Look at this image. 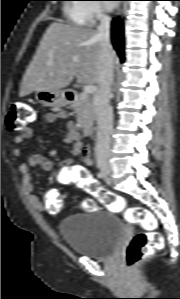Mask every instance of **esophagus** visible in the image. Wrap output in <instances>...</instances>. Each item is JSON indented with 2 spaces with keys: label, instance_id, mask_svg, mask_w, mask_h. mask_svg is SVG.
<instances>
[{
  "label": "esophagus",
  "instance_id": "1",
  "mask_svg": "<svg viewBox=\"0 0 180 299\" xmlns=\"http://www.w3.org/2000/svg\"><path fill=\"white\" fill-rule=\"evenodd\" d=\"M122 11H123V7H120L117 11V15H121L122 14Z\"/></svg>",
  "mask_w": 180,
  "mask_h": 299
}]
</instances>
